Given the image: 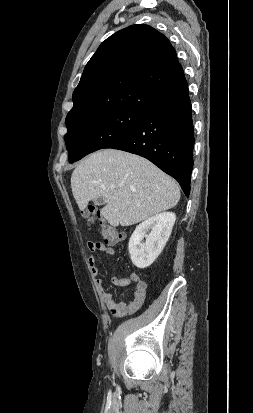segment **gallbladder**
Wrapping results in <instances>:
<instances>
[{
    "label": "gallbladder",
    "mask_w": 253,
    "mask_h": 413,
    "mask_svg": "<svg viewBox=\"0 0 253 413\" xmlns=\"http://www.w3.org/2000/svg\"><path fill=\"white\" fill-rule=\"evenodd\" d=\"M94 204L97 205V206L103 205V204H105V200L101 199V198H98L94 201Z\"/></svg>",
    "instance_id": "gallbladder-1"
}]
</instances>
